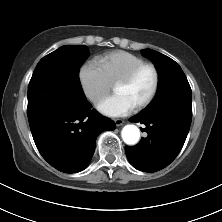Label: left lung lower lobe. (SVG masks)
<instances>
[{"label": "left lung lower lobe", "instance_id": "obj_1", "mask_svg": "<svg viewBox=\"0 0 222 222\" xmlns=\"http://www.w3.org/2000/svg\"><path fill=\"white\" fill-rule=\"evenodd\" d=\"M192 120L190 101L169 99L148 107L130 118L145 124L148 136L125 147L132 166L145 172H156L168 166L179 154Z\"/></svg>", "mask_w": 222, "mask_h": 222}]
</instances>
